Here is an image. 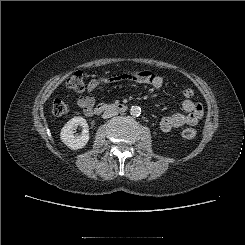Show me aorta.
<instances>
[{"mask_svg":"<svg viewBox=\"0 0 245 245\" xmlns=\"http://www.w3.org/2000/svg\"><path fill=\"white\" fill-rule=\"evenodd\" d=\"M130 114L134 117H138L141 114V108L139 106H132L130 108Z\"/></svg>","mask_w":245,"mask_h":245,"instance_id":"aorta-1","label":"aorta"}]
</instances>
